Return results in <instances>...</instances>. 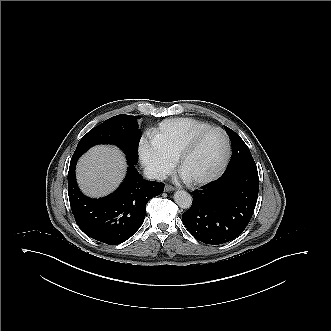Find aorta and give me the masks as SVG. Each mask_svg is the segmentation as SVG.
<instances>
[{
    "label": "aorta",
    "mask_w": 331,
    "mask_h": 331,
    "mask_svg": "<svg viewBox=\"0 0 331 331\" xmlns=\"http://www.w3.org/2000/svg\"><path fill=\"white\" fill-rule=\"evenodd\" d=\"M175 203L182 209H189L192 206V196L184 190H178L174 193Z\"/></svg>",
    "instance_id": "obj_1"
}]
</instances>
